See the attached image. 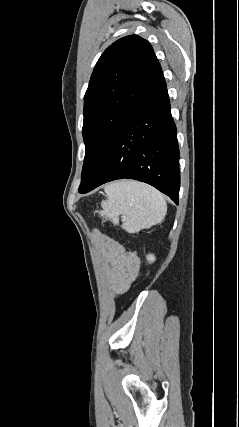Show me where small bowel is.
I'll list each match as a JSON object with an SVG mask.
<instances>
[{
	"label": "small bowel",
	"instance_id": "obj_1",
	"mask_svg": "<svg viewBox=\"0 0 239 427\" xmlns=\"http://www.w3.org/2000/svg\"><path fill=\"white\" fill-rule=\"evenodd\" d=\"M95 239L102 249L108 264L109 277L116 294L124 293L134 282L139 270V259L133 252L126 251L121 244L95 233Z\"/></svg>",
	"mask_w": 239,
	"mask_h": 427
}]
</instances>
